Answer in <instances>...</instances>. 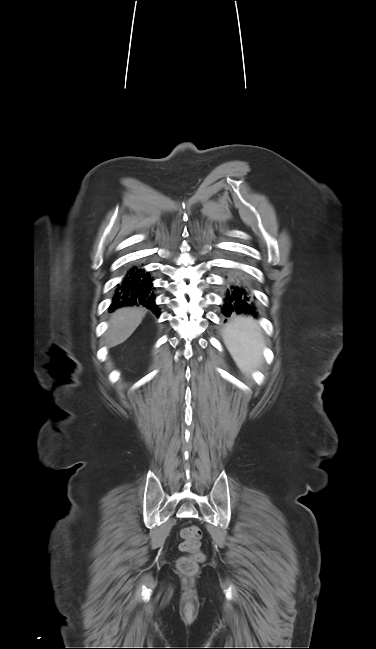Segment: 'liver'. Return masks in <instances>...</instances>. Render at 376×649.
Segmentation results:
<instances>
[{
  "mask_svg": "<svg viewBox=\"0 0 376 649\" xmlns=\"http://www.w3.org/2000/svg\"><path fill=\"white\" fill-rule=\"evenodd\" d=\"M146 311L138 307L117 309L111 316L106 334V344L115 347L125 342L142 322Z\"/></svg>",
  "mask_w": 376,
  "mask_h": 649,
  "instance_id": "obj_1",
  "label": "liver"
}]
</instances>
